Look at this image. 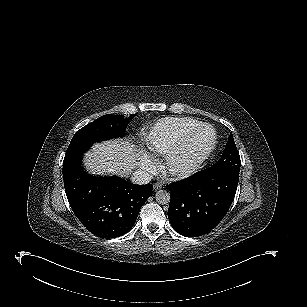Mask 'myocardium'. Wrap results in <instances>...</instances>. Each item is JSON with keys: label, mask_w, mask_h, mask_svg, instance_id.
Listing matches in <instances>:
<instances>
[{"label": "myocardium", "mask_w": 307, "mask_h": 307, "mask_svg": "<svg viewBox=\"0 0 307 307\" xmlns=\"http://www.w3.org/2000/svg\"><path fill=\"white\" fill-rule=\"evenodd\" d=\"M202 130V127L196 128L190 133L188 136L184 137L182 141L174 147L172 151H170L168 154H166L161 160H160V167L164 173H166L169 176L180 178L188 173H190L194 167L200 165L203 161L204 152H200L199 156L195 159V161L190 165L186 167H172L171 161L175 157V155L178 153V151L186 146L189 142L194 141L196 139V136L199 134V132ZM213 137V134H212Z\"/></svg>", "instance_id": "1"}]
</instances>
